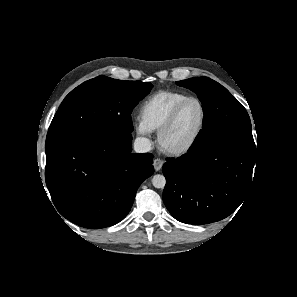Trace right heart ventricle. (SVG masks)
<instances>
[{
	"label": "right heart ventricle",
	"instance_id": "1",
	"mask_svg": "<svg viewBox=\"0 0 297 297\" xmlns=\"http://www.w3.org/2000/svg\"><path fill=\"white\" fill-rule=\"evenodd\" d=\"M187 94L173 90L159 91L150 96L140 108V120L149 131H158L172 110Z\"/></svg>",
	"mask_w": 297,
	"mask_h": 297
}]
</instances>
